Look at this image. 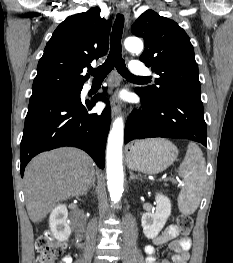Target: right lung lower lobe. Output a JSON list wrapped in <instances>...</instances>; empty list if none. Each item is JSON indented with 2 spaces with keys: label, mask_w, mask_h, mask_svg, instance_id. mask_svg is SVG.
<instances>
[{
  "label": "right lung lower lobe",
  "mask_w": 233,
  "mask_h": 263,
  "mask_svg": "<svg viewBox=\"0 0 233 263\" xmlns=\"http://www.w3.org/2000/svg\"><path fill=\"white\" fill-rule=\"evenodd\" d=\"M80 92H62L30 100L20 144L22 177L25 166L35 155L63 146L86 151L104 168L111 109L107 105L102 113H90L97 101L108 103L106 95L81 101Z\"/></svg>",
  "instance_id": "1"
}]
</instances>
